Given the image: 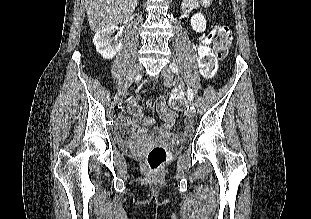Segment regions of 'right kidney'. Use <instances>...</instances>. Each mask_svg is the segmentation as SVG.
I'll return each mask as SVG.
<instances>
[{
  "instance_id": "right-kidney-1",
  "label": "right kidney",
  "mask_w": 311,
  "mask_h": 219,
  "mask_svg": "<svg viewBox=\"0 0 311 219\" xmlns=\"http://www.w3.org/2000/svg\"><path fill=\"white\" fill-rule=\"evenodd\" d=\"M117 29L116 26L104 28L96 32L93 43L96 46L97 52L104 59H112L120 50L121 42L112 43L113 33Z\"/></svg>"
}]
</instances>
